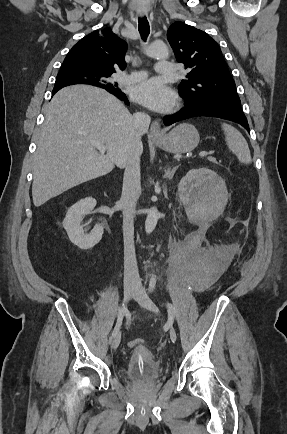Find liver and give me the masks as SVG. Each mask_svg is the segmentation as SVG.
Instances as JSON below:
<instances>
[{"label":"liver","mask_w":287,"mask_h":434,"mask_svg":"<svg viewBox=\"0 0 287 434\" xmlns=\"http://www.w3.org/2000/svg\"><path fill=\"white\" fill-rule=\"evenodd\" d=\"M106 147L98 152L93 144ZM143 152L133 116L107 91L86 85L59 90L45 110L34 156L32 197L39 207L84 182L126 167Z\"/></svg>","instance_id":"1"}]
</instances>
